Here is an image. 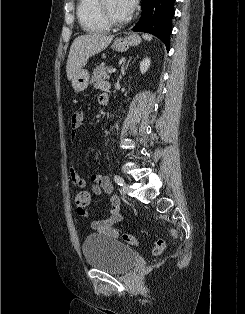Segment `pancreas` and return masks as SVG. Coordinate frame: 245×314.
Listing matches in <instances>:
<instances>
[{
	"mask_svg": "<svg viewBox=\"0 0 245 314\" xmlns=\"http://www.w3.org/2000/svg\"><path fill=\"white\" fill-rule=\"evenodd\" d=\"M111 66H104L100 65L97 66L93 71V76L91 78L92 84H99L105 81L106 79H109L110 76L108 75V71L111 69Z\"/></svg>",
	"mask_w": 245,
	"mask_h": 314,
	"instance_id": "obj_1",
	"label": "pancreas"
}]
</instances>
